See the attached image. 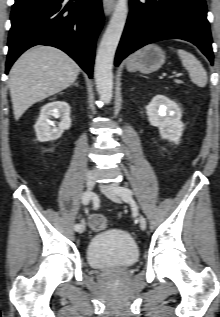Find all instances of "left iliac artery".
Listing matches in <instances>:
<instances>
[{"label": "left iliac artery", "mask_w": 220, "mask_h": 317, "mask_svg": "<svg viewBox=\"0 0 220 317\" xmlns=\"http://www.w3.org/2000/svg\"><path fill=\"white\" fill-rule=\"evenodd\" d=\"M119 195L126 201L133 195L132 191L126 187H119L118 188Z\"/></svg>", "instance_id": "1"}]
</instances>
